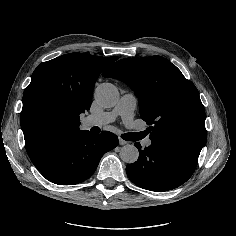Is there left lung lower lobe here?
<instances>
[{
	"mask_svg": "<svg viewBox=\"0 0 236 236\" xmlns=\"http://www.w3.org/2000/svg\"><path fill=\"white\" fill-rule=\"evenodd\" d=\"M151 141L144 149L135 143L139 158L126 166L129 179L151 191H168L185 183L192 176L199 155L165 141Z\"/></svg>",
	"mask_w": 236,
	"mask_h": 236,
	"instance_id": "1",
	"label": "left lung lower lobe"
}]
</instances>
